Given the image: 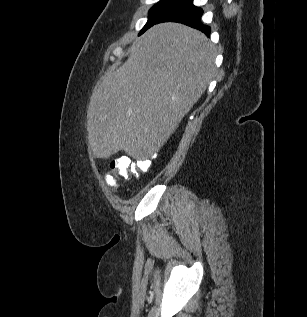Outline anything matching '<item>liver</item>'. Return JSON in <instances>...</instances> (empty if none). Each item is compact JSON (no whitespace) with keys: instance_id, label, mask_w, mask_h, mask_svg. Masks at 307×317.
Listing matches in <instances>:
<instances>
[{"instance_id":"6515ba94","label":"liver","mask_w":307,"mask_h":317,"mask_svg":"<svg viewBox=\"0 0 307 317\" xmlns=\"http://www.w3.org/2000/svg\"><path fill=\"white\" fill-rule=\"evenodd\" d=\"M215 47L198 30L162 23L145 32L128 60L95 89L87 112L93 154L134 159L160 150L215 74Z\"/></svg>"}]
</instances>
